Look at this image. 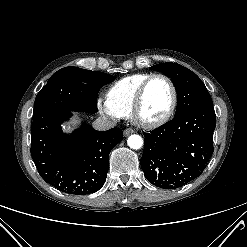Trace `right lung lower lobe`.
Returning <instances> with one entry per match:
<instances>
[{"label":"right lung lower lobe","instance_id":"1","mask_svg":"<svg viewBox=\"0 0 247 247\" xmlns=\"http://www.w3.org/2000/svg\"><path fill=\"white\" fill-rule=\"evenodd\" d=\"M71 111L56 108L33 116L31 155L43 179L62 192L86 195L106 181L109 153L122 140V130L96 131L83 124L67 136L61 124Z\"/></svg>","mask_w":247,"mask_h":247}]
</instances>
